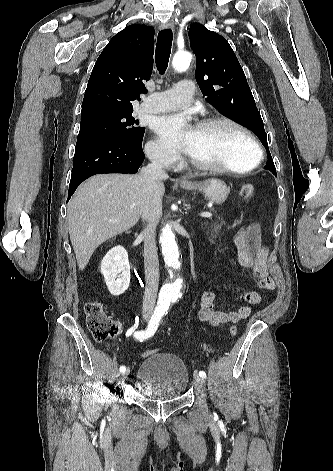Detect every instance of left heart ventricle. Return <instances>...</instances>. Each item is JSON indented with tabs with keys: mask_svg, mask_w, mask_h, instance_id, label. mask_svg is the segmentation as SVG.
Segmentation results:
<instances>
[{
	"mask_svg": "<svg viewBox=\"0 0 333 471\" xmlns=\"http://www.w3.org/2000/svg\"><path fill=\"white\" fill-rule=\"evenodd\" d=\"M190 155L208 163L242 169L252 164L255 151L247 137L228 124L196 128Z\"/></svg>",
	"mask_w": 333,
	"mask_h": 471,
	"instance_id": "left-heart-ventricle-1",
	"label": "left heart ventricle"
}]
</instances>
